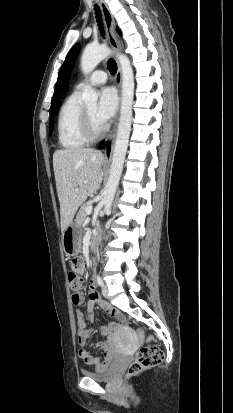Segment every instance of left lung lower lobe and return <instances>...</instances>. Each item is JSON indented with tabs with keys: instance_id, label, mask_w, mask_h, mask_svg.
<instances>
[{
	"instance_id": "1",
	"label": "left lung lower lobe",
	"mask_w": 233,
	"mask_h": 413,
	"mask_svg": "<svg viewBox=\"0 0 233 413\" xmlns=\"http://www.w3.org/2000/svg\"><path fill=\"white\" fill-rule=\"evenodd\" d=\"M105 145H106V143H103V144L100 145L99 148H103Z\"/></svg>"
}]
</instances>
